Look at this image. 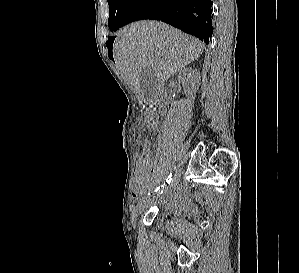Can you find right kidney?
Instances as JSON below:
<instances>
[{
	"instance_id": "ca27d5eb",
	"label": "right kidney",
	"mask_w": 299,
	"mask_h": 273,
	"mask_svg": "<svg viewBox=\"0 0 299 273\" xmlns=\"http://www.w3.org/2000/svg\"><path fill=\"white\" fill-rule=\"evenodd\" d=\"M198 76V71L197 69H185L183 70L180 74H179V81H181L182 83H185L188 79H190L191 77H197ZM197 89V85L192 84L190 87L191 91H194Z\"/></svg>"
}]
</instances>
